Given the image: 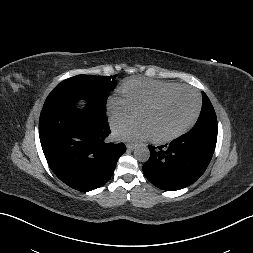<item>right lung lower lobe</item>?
<instances>
[{"mask_svg":"<svg viewBox=\"0 0 253 253\" xmlns=\"http://www.w3.org/2000/svg\"><path fill=\"white\" fill-rule=\"evenodd\" d=\"M105 114L95 108H73L71 102L44 105L39 136L46 160L65 184L87 192L105 184L113 175L124 143H106L110 133Z\"/></svg>","mask_w":253,"mask_h":253,"instance_id":"98d812e1","label":"right lung lower lobe"}]
</instances>
